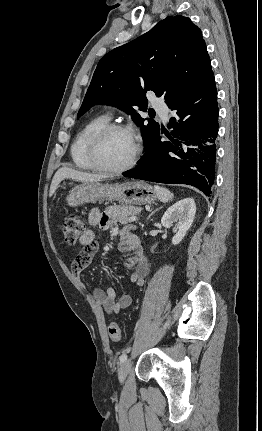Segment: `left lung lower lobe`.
Instances as JSON below:
<instances>
[{"label": "left lung lower lobe", "instance_id": "1", "mask_svg": "<svg viewBox=\"0 0 262 431\" xmlns=\"http://www.w3.org/2000/svg\"><path fill=\"white\" fill-rule=\"evenodd\" d=\"M174 111L161 141L160 129L145 147L135 169L123 176L146 181L187 184L211 194L215 178L218 103L214 77L182 102L169 107Z\"/></svg>", "mask_w": 262, "mask_h": 431}]
</instances>
